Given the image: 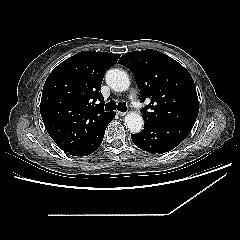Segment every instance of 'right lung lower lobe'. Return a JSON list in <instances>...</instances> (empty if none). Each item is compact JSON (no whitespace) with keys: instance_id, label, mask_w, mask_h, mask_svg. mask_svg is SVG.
I'll list each match as a JSON object with an SVG mask.
<instances>
[{"instance_id":"98d812e1","label":"right lung lower lobe","mask_w":240,"mask_h":240,"mask_svg":"<svg viewBox=\"0 0 240 240\" xmlns=\"http://www.w3.org/2000/svg\"><path fill=\"white\" fill-rule=\"evenodd\" d=\"M114 117H115V113L112 112L108 121L106 122L104 127L99 131L98 135L96 136V138L93 141H91L87 145H85L77 150L70 151L69 154L73 155V156H87V155L93 153L101 145V143L103 141L105 129H106L107 125L109 124V122Z\"/></svg>"}]
</instances>
